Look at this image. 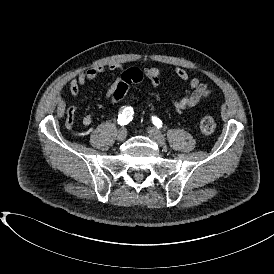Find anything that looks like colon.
<instances>
[{"label": "colon", "instance_id": "colon-1", "mask_svg": "<svg viewBox=\"0 0 274 274\" xmlns=\"http://www.w3.org/2000/svg\"><path fill=\"white\" fill-rule=\"evenodd\" d=\"M144 80V74L141 69L132 67L124 71L121 75V80L117 83L115 87V94L118 97H123L128 91L130 86L135 83H140ZM114 95L115 99H119ZM73 125V118L69 116L66 120L67 128H71ZM200 132L204 135L212 134L215 130V121L209 116H204L199 121Z\"/></svg>", "mask_w": 274, "mask_h": 274}]
</instances>
